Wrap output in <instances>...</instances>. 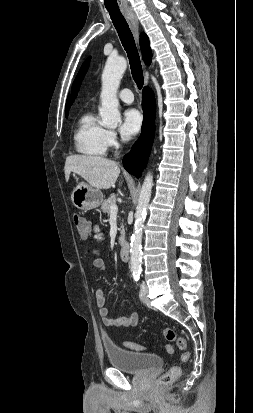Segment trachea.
I'll return each instance as SVG.
<instances>
[{"mask_svg":"<svg viewBox=\"0 0 253 413\" xmlns=\"http://www.w3.org/2000/svg\"><path fill=\"white\" fill-rule=\"evenodd\" d=\"M112 22L118 32L121 43L127 52L131 74L139 89L143 87L144 77L141 61L132 32L120 10H108Z\"/></svg>","mask_w":253,"mask_h":413,"instance_id":"1","label":"trachea"}]
</instances>
